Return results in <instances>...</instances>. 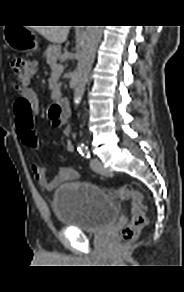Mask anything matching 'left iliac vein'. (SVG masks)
<instances>
[{
    "label": "left iliac vein",
    "instance_id": "4c4485c4",
    "mask_svg": "<svg viewBox=\"0 0 184 292\" xmlns=\"http://www.w3.org/2000/svg\"><path fill=\"white\" fill-rule=\"evenodd\" d=\"M90 166H91V169L94 172H96V173H98L100 175H103V176H109L110 175V172L103 166L101 161L98 160L97 158L91 159Z\"/></svg>",
    "mask_w": 184,
    "mask_h": 292
}]
</instances>
